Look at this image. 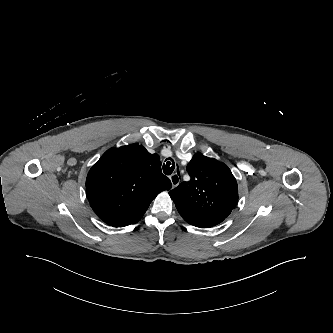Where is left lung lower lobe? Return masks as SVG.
Wrapping results in <instances>:
<instances>
[{"label":"left lung lower lobe","instance_id":"0a47b994","mask_svg":"<svg viewBox=\"0 0 333 333\" xmlns=\"http://www.w3.org/2000/svg\"><path fill=\"white\" fill-rule=\"evenodd\" d=\"M176 208L186 222L200 228L219 224L232 211L229 208H193L186 205H176Z\"/></svg>","mask_w":333,"mask_h":333}]
</instances>
